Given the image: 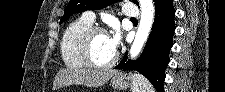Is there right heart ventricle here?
I'll return each mask as SVG.
<instances>
[{
	"instance_id": "obj_1",
	"label": "right heart ventricle",
	"mask_w": 225,
	"mask_h": 92,
	"mask_svg": "<svg viewBox=\"0 0 225 92\" xmlns=\"http://www.w3.org/2000/svg\"><path fill=\"white\" fill-rule=\"evenodd\" d=\"M92 25V22L86 20L83 16L70 22L62 33L60 40V55L63 63L72 68H85L78 52V40L81 34Z\"/></svg>"
}]
</instances>
